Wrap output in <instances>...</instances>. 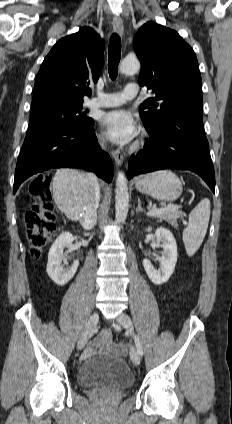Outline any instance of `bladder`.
Wrapping results in <instances>:
<instances>
[{
    "label": "bladder",
    "instance_id": "bladder-1",
    "mask_svg": "<svg viewBox=\"0 0 232 424\" xmlns=\"http://www.w3.org/2000/svg\"><path fill=\"white\" fill-rule=\"evenodd\" d=\"M77 381L84 388L126 389L133 385L134 377L123 358L95 356L81 364Z\"/></svg>",
    "mask_w": 232,
    "mask_h": 424
}]
</instances>
